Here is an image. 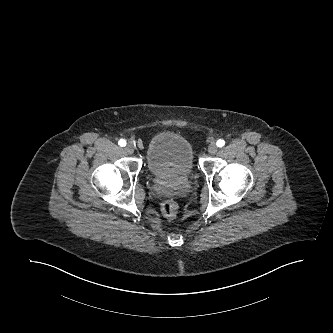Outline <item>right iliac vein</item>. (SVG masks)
Listing matches in <instances>:
<instances>
[{
	"instance_id": "63e3f726",
	"label": "right iliac vein",
	"mask_w": 333,
	"mask_h": 333,
	"mask_svg": "<svg viewBox=\"0 0 333 333\" xmlns=\"http://www.w3.org/2000/svg\"><path fill=\"white\" fill-rule=\"evenodd\" d=\"M125 151L128 153V154H132L134 153L135 151V145L133 143H128L125 147Z\"/></svg>"
}]
</instances>
